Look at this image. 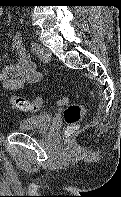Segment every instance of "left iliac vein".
<instances>
[{
	"label": "left iliac vein",
	"mask_w": 121,
	"mask_h": 197,
	"mask_svg": "<svg viewBox=\"0 0 121 197\" xmlns=\"http://www.w3.org/2000/svg\"><path fill=\"white\" fill-rule=\"evenodd\" d=\"M37 54L40 60L43 62H49L51 59V53L46 47H43V46L39 47Z\"/></svg>",
	"instance_id": "1"
}]
</instances>
